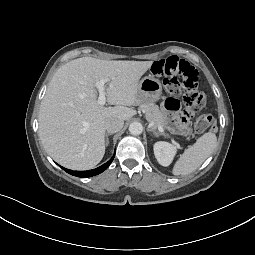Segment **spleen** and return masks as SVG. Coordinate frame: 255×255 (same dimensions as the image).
<instances>
[{
  "label": "spleen",
  "instance_id": "spleen-1",
  "mask_svg": "<svg viewBox=\"0 0 255 255\" xmlns=\"http://www.w3.org/2000/svg\"><path fill=\"white\" fill-rule=\"evenodd\" d=\"M217 145V137L212 132H207L180 155L175 162L172 173L175 176L188 175L199 168L213 153Z\"/></svg>",
  "mask_w": 255,
  "mask_h": 255
}]
</instances>
